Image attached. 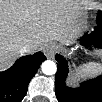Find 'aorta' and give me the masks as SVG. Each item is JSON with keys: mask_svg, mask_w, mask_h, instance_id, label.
I'll return each mask as SVG.
<instances>
[{"mask_svg": "<svg viewBox=\"0 0 102 102\" xmlns=\"http://www.w3.org/2000/svg\"><path fill=\"white\" fill-rule=\"evenodd\" d=\"M42 71L44 74L46 75H54L57 71V65L55 64V62L49 60V61H45L42 66Z\"/></svg>", "mask_w": 102, "mask_h": 102, "instance_id": "762f6f07", "label": "aorta"}]
</instances>
